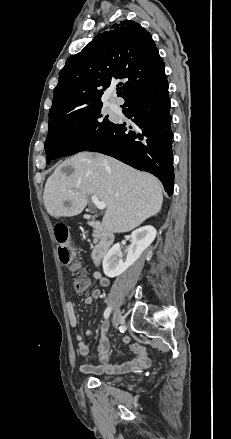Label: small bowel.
I'll return each mask as SVG.
<instances>
[{"label":"small bowel","mask_w":231,"mask_h":439,"mask_svg":"<svg viewBox=\"0 0 231 439\" xmlns=\"http://www.w3.org/2000/svg\"><path fill=\"white\" fill-rule=\"evenodd\" d=\"M93 279L97 281L102 287H107L109 285V279L104 276L101 272L95 271L93 273ZM101 297V291L99 289H94L89 295L84 298V303L89 305L92 304L94 300ZM66 311L69 319V324L71 327L75 328L78 324L75 305L72 301L66 302ZM102 331L105 332L108 329V324H102ZM87 336L92 334V329L87 328L85 330ZM75 339L77 341L78 353L80 357L87 358L89 356V345L87 341L83 338L81 334H76ZM123 342L128 344L130 338L128 336L123 337ZM134 357L120 364H113L110 362V347L108 340L105 336H101L98 343L99 351V365H82L81 371L90 374H117L124 373L132 370L144 369L149 366V358L146 349L140 344H132L130 346Z\"/></svg>","instance_id":"obj_1"}]
</instances>
